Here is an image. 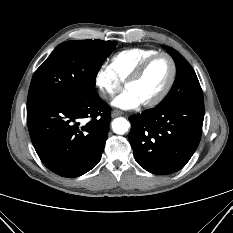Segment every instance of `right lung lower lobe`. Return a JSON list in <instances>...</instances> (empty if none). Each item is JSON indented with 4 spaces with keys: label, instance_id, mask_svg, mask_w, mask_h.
Returning <instances> with one entry per match:
<instances>
[{
    "label": "right lung lower lobe",
    "instance_id": "98d812e1",
    "mask_svg": "<svg viewBox=\"0 0 233 233\" xmlns=\"http://www.w3.org/2000/svg\"><path fill=\"white\" fill-rule=\"evenodd\" d=\"M109 110L95 90L27 106L30 137L43 164L63 177H78L91 170L105 147Z\"/></svg>",
    "mask_w": 233,
    "mask_h": 233
}]
</instances>
